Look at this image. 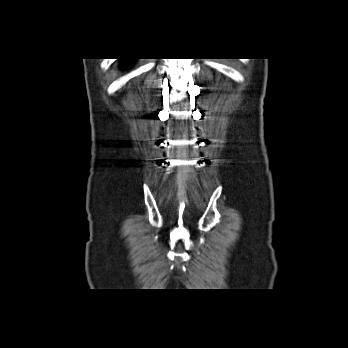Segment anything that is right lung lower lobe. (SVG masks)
Here are the masks:
<instances>
[{
    "mask_svg": "<svg viewBox=\"0 0 348 348\" xmlns=\"http://www.w3.org/2000/svg\"><path fill=\"white\" fill-rule=\"evenodd\" d=\"M125 61H126V63H129L131 61V59H126Z\"/></svg>",
    "mask_w": 348,
    "mask_h": 348,
    "instance_id": "1",
    "label": "right lung lower lobe"
}]
</instances>
